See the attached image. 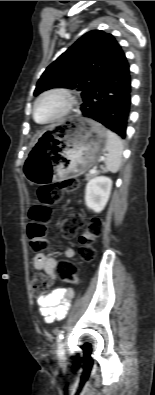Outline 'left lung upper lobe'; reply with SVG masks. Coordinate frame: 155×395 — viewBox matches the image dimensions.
I'll return each mask as SVG.
<instances>
[{"mask_svg": "<svg viewBox=\"0 0 155 395\" xmlns=\"http://www.w3.org/2000/svg\"><path fill=\"white\" fill-rule=\"evenodd\" d=\"M124 58L125 53L113 35L92 30L46 68L34 95L61 87L81 91L84 101L98 87L103 76Z\"/></svg>", "mask_w": 155, "mask_h": 395, "instance_id": "5c2ea615", "label": "left lung upper lobe"}]
</instances>
